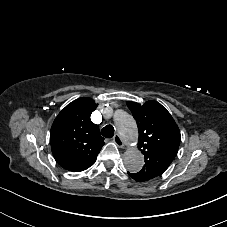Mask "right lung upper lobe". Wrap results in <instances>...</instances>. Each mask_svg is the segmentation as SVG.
I'll list each match as a JSON object with an SVG mask.
<instances>
[{"mask_svg": "<svg viewBox=\"0 0 227 227\" xmlns=\"http://www.w3.org/2000/svg\"><path fill=\"white\" fill-rule=\"evenodd\" d=\"M97 104L79 98L68 104L56 117L50 131V144L57 163L66 170L79 172L94 164L104 145L98 125L91 119Z\"/></svg>", "mask_w": 227, "mask_h": 227, "instance_id": "obj_1", "label": "right lung upper lobe"}]
</instances>
